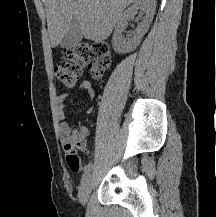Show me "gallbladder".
Listing matches in <instances>:
<instances>
[{"label":"gallbladder","mask_w":216,"mask_h":217,"mask_svg":"<svg viewBox=\"0 0 216 217\" xmlns=\"http://www.w3.org/2000/svg\"><path fill=\"white\" fill-rule=\"evenodd\" d=\"M82 38H83V35L81 33L80 26L78 22L74 19L71 22L67 33L61 40L60 47L61 48H74L79 44Z\"/></svg>","instance_id":"1"}]
</instances>
